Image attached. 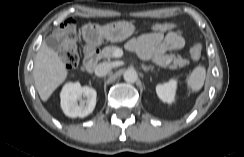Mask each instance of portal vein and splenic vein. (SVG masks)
<instances>
[{"label":"portal vein and splenic vein","mask_w":244,"mask_h":157,"mask_svg":"<svg viewBox=\"0 0 244 157\" xmlns=\"http://www.w3.org/2000/svg\"><path fill=\"white\" fill-rule=\"evenodd\" d=\"M113 56H114L115 58H120V57H122V56H123V50L120 49V48L116 49L115 52L113 53Z\"/></svg>","instance_id":"18ae733b"}]
</instances>
